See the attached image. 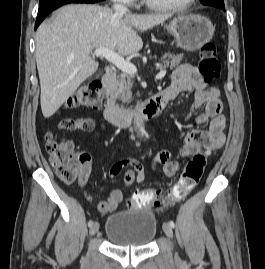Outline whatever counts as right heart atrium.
<instances>
[{
	"instance_id": "obj_1",
	"label": "right heart atrium",
	"mask_w": 265,
	"mask_h": 269,
	"mask_svg": "<svg viewBox=\"0 0 265 269\" xmlns=\"http://www.w3.org/2000/svg\"><path fill=\"white\" fill-rule=\"evenodd\" d=\"M113 1L118 2V3H123V4H129L135 0H113Z\"/></svg>"
}]
</instances>
